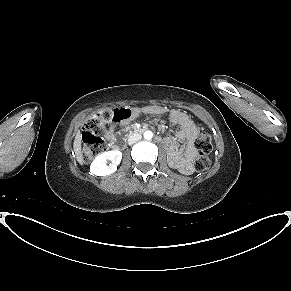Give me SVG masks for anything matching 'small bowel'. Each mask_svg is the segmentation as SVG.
<instances>
[{
	"label": "small bowel",
	"mask_w": 291,
	"mask_h": 291,
	"mask_svg": "<svg viewBox=\"0 0 291 291\" xmlns=\"http://www.w3.org/2000/svg\"><path fill=\"white\" fill-rule=\"evenodd\" d=\"M141 113L154 114V115H168L172 125L179 127L176 133V137L182 141H185L186 146L182 152L171 138L165 139V143L168 147L169 156L172 162L178 166L181 172L189 174L192 172L191 161L196 156L195 141L198 134V128L192 119L183 111L179 109H169L163 106L149 105L143 108H133L131 115L127 119L114 122L108 131L106 132V140L112 143L115 137V129L117 125H126L130 119L137 118Z\"/></svg>",
	"instance_id": "obj_1"
}]
</instances>
